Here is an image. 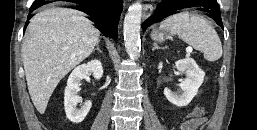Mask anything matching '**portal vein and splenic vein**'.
Listing matches in <instances>:
<instances>
[{"label": "portal vein and splenic vein", "instance_id": "portal-vein-and-splenic-vein-1", "mask_svg": "<svg viewBox=\"0 0 257 130\" xmlns=\"http://www.w3.org/2000/svg\"><path fill=\"white\" fill-rule=\"evenodd\" d=\"M187 53H191L192 52V48H187Z\"/></svg>", "mask_w": 257, "mask_h": 130}]
</instances>
